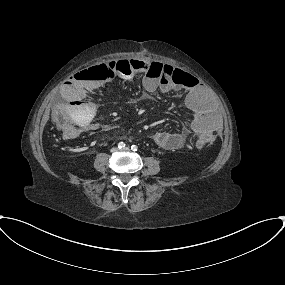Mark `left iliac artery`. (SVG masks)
Returning <instances> with one entry per match:
<instances>
[{
  "label": "left iliac artery",
  "mask_w": 285,
  "mask_h": 285,
  "mask_svg": "<svg viewBox=\"0 0 285 285\" xmlns=\"http://www.w3.org/2000/svg\"><path fill=\"white\" fill-rule=\"evenodd\" d=\"M137 149H138V147H137L136 145H132V146H131V150H132V151H137Z\"/></svg>",
  "instance_id": "obj_1"
}]
</instances>
